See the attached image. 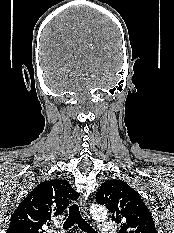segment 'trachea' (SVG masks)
Masks as SVG:
<instances>
[{
  "instance_id": "3493384b",
  "label": "trachea",
  "mask_w": 174,
  "mask_h": 233,
  "mask_svg": "<svg viewBox=\"0 0 174 233\" xmlns=\"http://www.w3.org/2000/svg\"><path fill=\"white\" fill-rule=\"evenodd\" d=\"M75 224H77L78 227L86 233H96V231L81 216L79 206L77 204H73L69 207V215L63 224V228L69 229Z\"/></svg>"
}]
</instances>
